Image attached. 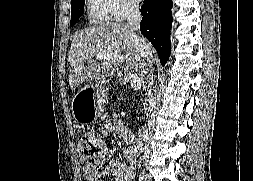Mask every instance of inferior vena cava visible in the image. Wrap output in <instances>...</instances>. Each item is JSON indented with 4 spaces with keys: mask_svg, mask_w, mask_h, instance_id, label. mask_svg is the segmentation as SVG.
Listing matches in <instances>:
<instances>
[{
    "mask_svg": "<svg viewBox=\"0 0 253 181\" xmlns=\"http://www.w3.org/2000/svg\"><path fill=\"white\" fill-rule=\"evenodd\" d=\"M126 18H127V25L129 27H131L134 31H138L139 30V25H140V21H141V14L139 11V5L137 3H130L127 8H126ZM138 48L141 51V53L145 54L146 53V43L144 42V40L142 39H138ZM150 64H147V68H145V75L147 74V72L149 71ZM144 83V87L147 88V92H148V97H149V110H150V120L148 122L149 127L146 130V133L149 134V138L151 136V134L154 131V128L156 127V120H157V112H156V105L157 102L156 100L153 98L152 95V83H153V76L148 75L146 77V80L143 82Z\"/></svg>",
    "mask_w": 253,
    "mask_h": 181,
    "instance_id": "602c4592",
    "label": "inferior vena cava"
}]
</instances>
